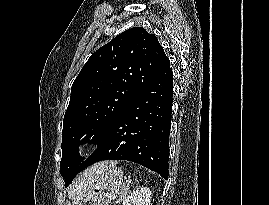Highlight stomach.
I'll return each mask as SVG.
<instances>
[{"instance_id":"1","label":"stomach","mask_w":269,"mask_h":205,"mask_svg":"<svg viewBox=\"0 0 269 205\" xmlns=\"http://www.w3.org/2000/svg\"><path fill=\"white\" fill-rule=\"evenodd\" d=\"M125 193L123 170L112 167L98 175L92 187L74 199L73 205H109L119 202Z\"/></svg>"}]
</instances>
